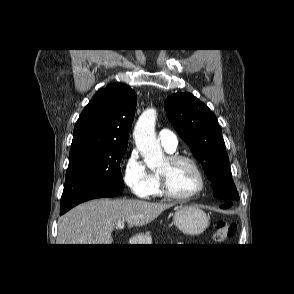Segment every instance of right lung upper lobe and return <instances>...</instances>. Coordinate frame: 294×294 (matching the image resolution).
I'll use <instances>...</instances> for the list:
<instances>
[{
	"instance_id": "1",
	"label": "right lung upper lobe",
	"mask_w": 294,
	"mask_h": 294,
	"mask_svg": "<svg viewBox=\"0 0 294 294\" xmlns=\"http://www.w3.org/2000/svg\"><path fill=\"white\" fill-rule=\"evenodd\" d=\"M135 106V91L127 85L114 83L100 89L77 120L71 146H128Z\"/></svg>"
}]
</instances>
